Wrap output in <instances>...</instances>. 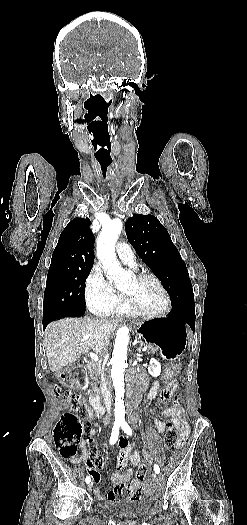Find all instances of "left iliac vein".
Here are the masks:
<instances>
[{
  "label": "left iliac vein",
  "instance_id": "obj_1",
  "mask_svg": "<svg viewBox=\"0 0 247 525\" xmlns=\"http://www.w3.org/2000/svg\"><path fill=\"white\" fill-rule=\"evenodd\" d=\"M156 478H157L156 473H152V479H153V480H156Z\"/></svg>",
  "mask_w": 247,
  "mask_h": 525
}]
</instances>
